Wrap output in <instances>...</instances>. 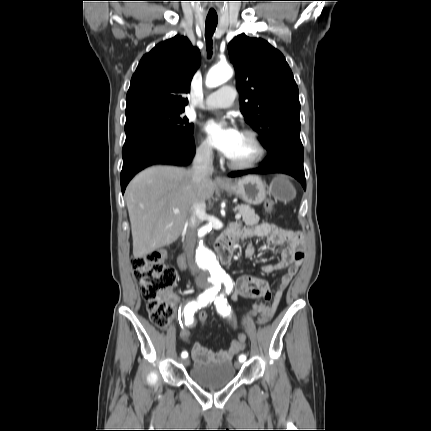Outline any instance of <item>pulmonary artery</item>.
<instances>
[{
  "label": "pulmonary artery",
  "instance_id": "1",
  "mask_svg": "<svg viewBox=\"0 0 431 431\" xmlns=\"http://www.w3.org/2000/svg\"><path fill=\"white\" fill-rule=\"evenodd\" d=\"M236 98V89L231 85H223L215 92L209 94L201 108L211 110L230 107Z\"/></svg>",
  "mask_w": 431,
  "mask_h": 431
}]
</instances>
